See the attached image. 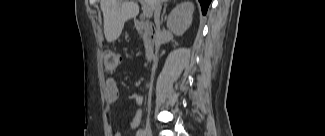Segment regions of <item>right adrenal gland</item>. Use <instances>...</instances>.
Listing matches in <instances>:
<instances>
[{"instance_id": "obj_1", "label": "right adrenal gland", "mask_w": 325, "mask_h": 136, "mask_svg": "<svg viewBox=\"0 0 325 136\" xmlns=\"http://www.w3.org/2000/svg\"><path fill=\"white\" fill-rule=\"evenodd\" d=\"M166 8H167V3H165V5H164V10H163V14H162V17H161V22L164 21V18L166 19V16H165Z\"/></svg>"}]
</instances>
